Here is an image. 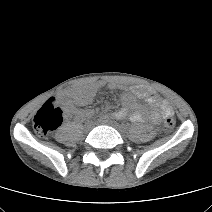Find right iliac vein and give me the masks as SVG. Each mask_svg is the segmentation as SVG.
<instances>
[{"instance_id":"63e3f726","label":"right iliac vein","mask_w":212,"mask_h":212,"mask_svg":"<svg viewBox=\"0 0 212 212\" xmlns=\"http://www.w3.org/2000/svg\"><path fill=\"white\" fill-rule=\"evenodd\" d=\"M93 127H94V122L88 121V122H86L85 125H84V130H85L86 132H89Z\"/></svg>"}]
</instances>
